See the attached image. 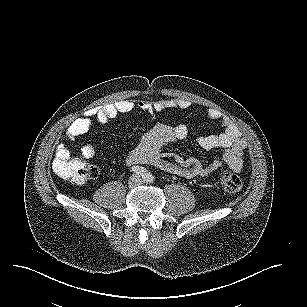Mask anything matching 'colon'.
Segmentation results:
<instances>
[{"mask_svg": "<svg viewBox=\"0 0 307 307\" xmlns=\"http://www.w3.org/2000/svg\"><path fill=\"white\" fill-rule=\"evenodd\" d=\"M54 169L61 177L77 183L93 179L99 174L96 166L89 164L80 157L55 161ZM219 182L222 189L227 193H237L243 187L241 178L229 170L221 173Z\"/></svg>", "mask_w": 307, "mask_h": 307, "instance_id": "1", "label": "colon"}]
</instances>
